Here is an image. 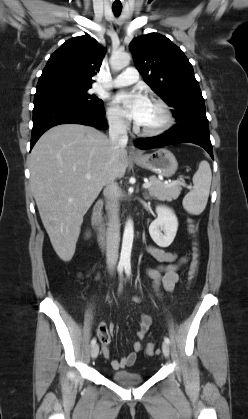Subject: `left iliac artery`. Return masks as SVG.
Returning a JSON list of instances; mask_svg holds the SVG:
<instances>
[{
	"mask_svg": "<svg viewBox=\"0 0 248 419\" xmlns=\"http://www.w3.org/2000/svg\"><path fill=\"white\" fill-rule=\"evenodd\" d=\"M125 272H126L127 276H130V274H131V266H130L129 264H127V265L125 266ZM164 341H165L167 344H169V343H170V340H169V338H168V337H164Z\"/></svg>",
	"mask_w": 248,
	"mask_h": 419,
	"instance_id": "1",
	"label": "left iliac artery"
}]
</instances>
